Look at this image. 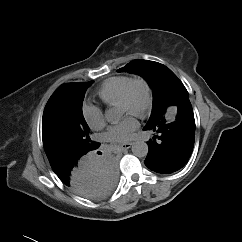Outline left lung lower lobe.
<instances>
[{"mask_svg": "<svg viewBox=\"0 0 242 242\" xmlns=\"http://www.w3.org/2000/svg\"><path fill=\"white\" fill-rule=\"evenodd\" d=\"M177 114L173 119L165 113L153 122L147 123L144 130L156 132L149 140V153L145 165L161 174H170L181 169L188 161L194 146L195 120L189 99L176 105Z\"/></svg>", "mask_w": 242, "mask_h": 242, "instance_id": "left-lung-lower-lobe-1", "label": "left lung lower lobe"}]
</instances>
